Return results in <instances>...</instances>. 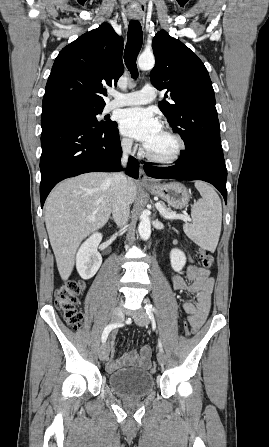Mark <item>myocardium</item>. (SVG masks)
I'll use <instances>...</instances> for the list:
<instances>
[{
  "mask_svg": "<svg viewBox=\"0 0 269 447\" xmlns=\"http://www.w3.org/2000/svg\"><path fill=\"white\" fill-rule=\"evenodd\" d=\"M164 129L170 133L177 141V148L175 149V151L173 152V154L167 158H157L152 156L146 149V147L144 146V155L145 157L152 163L155 164H159V165H165V166H169V165H174L175 163H177L181 156L183 155L185 148H186V142L185 139L183 138V136L177 132L174 128H172L169 125L164 126Z\"/></svg>",
  "mask_w": 269,
  "mask_h": 447,
  "instance_id": "obj_1",
  "label": "myocardium"
}]
</instances>
